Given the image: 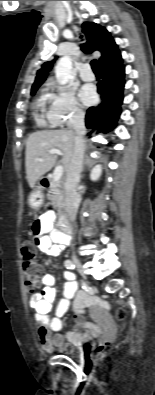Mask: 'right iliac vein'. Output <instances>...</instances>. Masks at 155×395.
I'll return each mask as SVG.
<instances>
[{
  "mask_svg": "<svg viewBox=\"0 0 155 395\" xmlns=\"http://www.w3.org/2000/svg\"><path fill=\"white\" fill-rule=\"evenodd\" d=\"M73 263H74L76 269H77L81 274H83L84 270H83V267H82V264H81L80 260H79L78 258L74 257V258H73Z\"/></svg>",
  "mask_w": 155,
  "mask_h": 395,
  "instance_id": "1",
  "label": "right iliac vein"
}]
</instances>
